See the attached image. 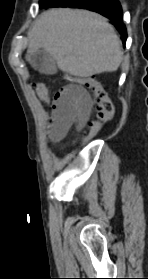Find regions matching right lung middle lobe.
<instances>
[{
  "instance_id": "dd1d6c3e",
  "label": "right lung middle lobe",
  "mask_w": 148,
  "mask_h": 279,
  "mask_svg": "<svg viewBox=\"0 0 148 279\" xmlns=\"http://www.w3.org/2000/svg\"><path fill=\"white\" fill-rule=\"evenodd\" d=\"M50 0H40V8H45V6L47 5V3L49 2Z\"/></svg>"
}]
</instances>
